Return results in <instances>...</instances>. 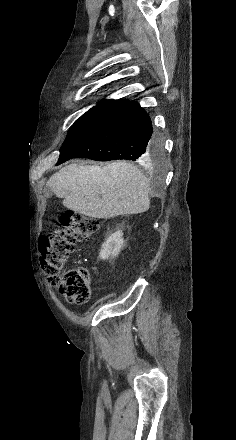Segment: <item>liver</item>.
<instances>
[{"label": "liver", "mask_w": 236, "mask_h": 440, "mask_svg": "<svg viewBox=\"0 0 236 440\" xmlns=\"http://www.w3.org/2000/svg\"><path fill=\"white\" fill-rule=\"evenodd\" d=\"M47 186L66 208L92 218L139 214L150 208L148 179L126 161L67 165L49 178Z\"/></svg>", "instance_id": "obj_1"}]
</instances>
